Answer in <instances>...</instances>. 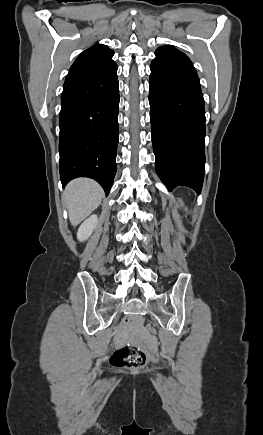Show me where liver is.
<instances>
[{
  "label": "liver",
  "mask_w": 263,
  "mask_h": 435,
  "mask_svg": "<svg viewBox=\"0 0 263 435\" xmlns=\"http://www.w3.org/2000/svg\"><path fill=\"white\" fill-rule=\"evenodd\" d=\"M64 195L70 223L77 226L100 205L103 190L92 179L77 178L66 186Z\"/></svg>",
  "instance_id": "liver-1"
}]
</instances>
